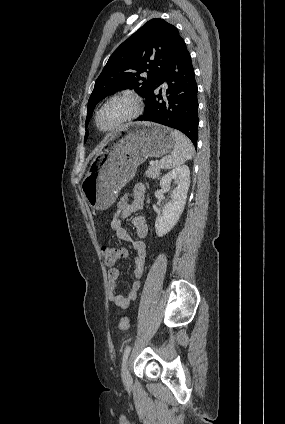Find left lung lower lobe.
Wrapping results in <instances>:
<instances>
[{"label":"left lung lower lobe","instance_id":"left-lung-lower-lobe-1","mask_svg":"<svg viewBox=\"0 0 285 424\" xmlns=\"http://www.w3.org/2000/svg\"><path fill=\"white\" fill-rule=\"evenodd\" d=\"M165 81L168 89L163 97L160 85ZM197 89L191 57L180 38L160 81L146 98L145 113L137 120L177 129L196 147L199 123Z\"/></svg>","mask_w":285,"mask_h":424}]
</instances>
